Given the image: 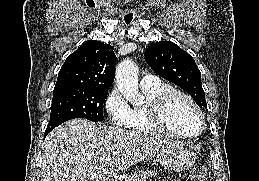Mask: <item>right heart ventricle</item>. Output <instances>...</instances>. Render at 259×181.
Wrapping results in <instances>:
<instances>
[{"label":"right heart ventricle","mask_w":259,"mask_h":181,"mask_svg":"<svg viewBox=\"0 0 259 181\" xmlns=\"http://www.w3.org/2000/svg\"><path fill=\"white\" fill-rule=\"evenodd\" d=\"M171 88L169 85L158 82L157 84L141 87L145 96V104L140 107H134L130 110V119L127 128L139 133L158 134L161 133L152 123L149 107L151 102L163 91Z\"/></svg>","instance_id":"e07e8e85"}]
</instances>
